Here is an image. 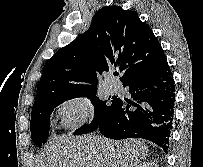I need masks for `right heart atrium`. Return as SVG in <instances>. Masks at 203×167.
<instances>
[{
  "label": "right heart atrium",
  "mask_w": 203,
  "mask_h": 167,
  "mask_svg": "<svg viewBox=\"0 0 203 167\" xmlns=\"http://www.w3.org/2000/svg\"><path fill=\"white\" fill-rule=\"evenodd\" d=\"M63 127L74 131L85 126L93 116V104L86 96H74L63 101L57 109Z\"/></svg>",
  "instance_id": "d8ad5b80"
}]
</instances>
